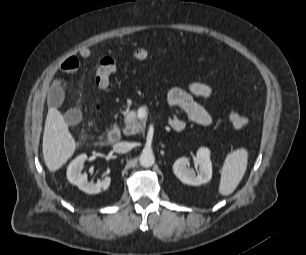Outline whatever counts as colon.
Listing matches in <instances>:
<instances>
[{"instance_id": "1", "label": "colon", "mask_w": 306, "mask_h": 255, "mask_svg": "<svg viewBox=\"0 0 306 255\" xmlns=\"http://www.w3.org/2000/svg\"><path fill=\"white\" fill-rule=\"evenodd\" d=\"M134 59L138 62L145 61L148 56L149 52L144 47H139L134 51ZM118 70V62L111 58V57H104L100 60L97 69L95 80L97 86L101 90L108 89L110 85V79L113 74H115ZM227 120L229 123L236 129H244L250 126L251 121L248 117L238 114L236 112H228L226 114Z\"/></svg>"}]
</instances>
